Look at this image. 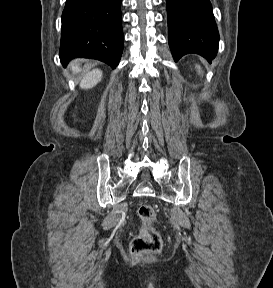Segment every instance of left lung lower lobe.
<instances>
[{"instance_id":"left-lung-lower-lobe-1","label":"left lung lower lobe","mask_w":273,"mask_h":288,"mask_svg":"<svg viewBox=\"0 0 273 288\" xmlns=\"http://www.w3.org/2000/svg\"><path fill=\"white\" fill-rule=\"evenodd\" d=\"M168 40L175 61L196 53L208 60L216 57L219 33L210 0H166Z\"/></svg>"}]
</instances>
